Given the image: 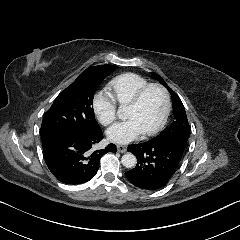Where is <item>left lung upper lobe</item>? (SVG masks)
<instances>
[{"label": "left lung upper lobe", "mask_w": 240, "mask_h": 240, "mask_svg": "<svg viewBox=\"0 0 240 240\" xmlns=\"http://www.w3.org/2000/svg\"><path fill=\"white\" fill-rule=\"evenodd\" d=\"M152 76L159 80L161 84H163L171 93L173 100V108H174V116L175 121L171 124V126L165 130H163L158 136L149 140L152 142L158 141H176L180 142L186 146L188 136H189V123L187 119V115L185 112V108L183 106L182 101L178 97V95L166 84V82L154 72H151Z\"/></svg>", "instance_id": "left-lung-upper-lobe-1"}]
</instances>
